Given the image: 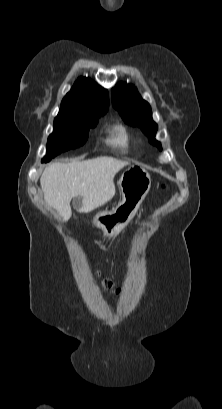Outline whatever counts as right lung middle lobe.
Returning <instances> with one entry per match:
<instances>
[{
	"mask_svg": "<svg viewBox=\"0 0 222 409\" xmlns=\"http://www.w3.org/2000/svg\"><path fill=\"white\" fill-rule=\"evenodd\" d=\"M106 111L74 110L59 113L54 119V131L48 137L47 153L42 162H48L61 152L80 147L88 138V130L95 127Z\"/></svg>",
	"mask_w": 222,
	"mask_h": 409,
	"instance_id": "1",
	"label": "right lung middle lobe"
}]
</instances>
